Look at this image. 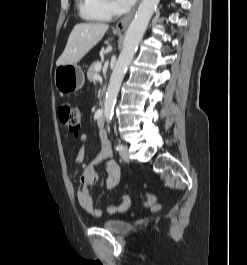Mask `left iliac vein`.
<instances>
[{"label": "left iliac vein", "mask_w": 247, "mask_h": 265, "mask_svg": "<svg viewBox=\"0 0 247 265\" xmlns=\"http://www.w3.org/2000/svg\"><path fill=\"white\" fill-rule=\"evenodd\" d=\"M120 156L125 162H129V153L127 146H124L123 149L120 150Z\"/></svg>", "instance_id": "obj_1"}]
</instances>
